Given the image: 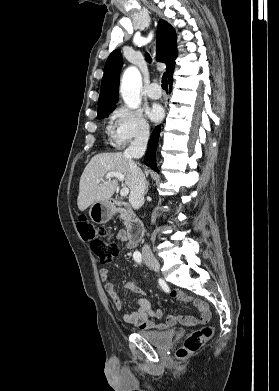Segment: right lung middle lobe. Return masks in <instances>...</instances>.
Listing matches in <instances>:
<instances>
[{"label":"right lung middle lobe","mask_w":279,"mask_h":391,"mask_svg":"<svg viewBox=\"0 0 279 391\" xmlns=\"http://www.w3.org/2000/svg\"><path fill=\"white\" fill-rule=\"evenodd\" d=\"M113 110H114V108H109V109H106V110L99 112L98 118H104V117L108 116V114L111 113Z\"/></svg>","instance_id":"obj_1"}]
</instances>
